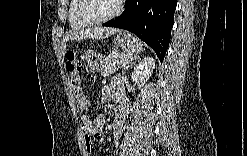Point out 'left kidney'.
<instances>
[{
  "instance_id": "1",
  "label": "left kidney",
  "mask_w": 247,
  "mask_h": 156,
  "mask_svg": "<svg viewBox=\"0 0 247 156\" xmlns=\"http://www.w3.org/2000/svg\"><path fill=\"white\" fill-rule=\"evenodd\" d=\"M155 68V59L153 57H145L134 68L132 72V80L135 84L143 86L153 73Z\"/></svg>"
}]
</instances>
